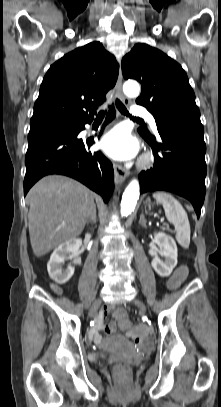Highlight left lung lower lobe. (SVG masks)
<instances>
[{
	"label": "left lung lower lobe",
	"mask_w": 221,
	"mask_h": 407,
	"mask_svg": "<svg viewBox=\"0 0 221 407\" xmlns=\"http://www.w3.org/2000/svg\"><path fill=\"white\" fill-rule=\"evenodd\" d=\"M156 141L140 133L154 150L153 168L139 175L140 193L165 190L190 200L197 217L205 198L206 145L200 117L181 115L157 124Z\"/></svg>",
	"instance_id": "obj_1"
}]
</instances>
